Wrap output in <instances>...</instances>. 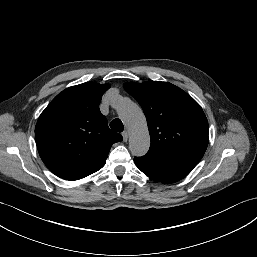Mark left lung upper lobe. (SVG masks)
<instances>
[{
	"instance_id": "5c2ea615",
	"label": "left lung upper lobe",
	"mask_w": 257,
	"mask_h": 257,
	"mask_svg": "<svg viewBox=\"0 0 257 257\" xmlns=\"http://www.w3.org/2000/svg\"><path fill=\"white\" fill-rule=\"evenodd\" d=\"M125 90L141 105L151 146L142 160L197 164L208 145V121L201 106L179 87L159 81L127 82Z\"/></svg>"
}]
</instances>
